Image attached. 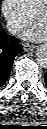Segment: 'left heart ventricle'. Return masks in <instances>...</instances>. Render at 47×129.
I'll list each match as a JSON object with an SVG mask.
<instances>
[{
    "label": "left heart ventricle",
    "mask_w": 47,
    "mask_h": 129,
    "mask_svg": "<svg viewBox=\"0 0 47 129\" xmlns=\"http://www.w3.org/2000/svg\"><path fill=\"white\" fill-rule=\"evenodd\" d=\"M46 15L45 14H41L38 18H37V21L42 23V24H46Z\"/></svg>",
    "instance_id": "left-heart-ventricle-1"
}]
</instances>
